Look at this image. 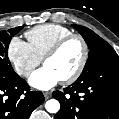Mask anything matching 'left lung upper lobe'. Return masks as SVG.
<instances>
[{
  "label": "left lung upper lobe",
  "instance_id": "5c2ea615",
  "mask_svg": "<svg viewBox=\"0 0 119 119\" xmlns=\"http://www.w3.org/2000/svg\"><path fill=\"white\" fill-rule=\"evenodd\" d=\"M86 41L90 53L87 63L80 77L87 75L92 69L113 61H119V56L115 50L92 30L81 26L73 25Z\"/></svg>",
  "mask_w": 119,
  "mask_h": 119
}]
</instances>
